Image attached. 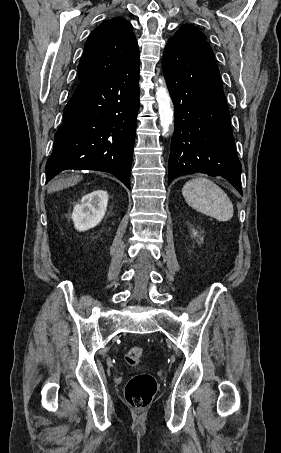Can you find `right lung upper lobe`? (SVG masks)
I'll use <instances>...</instances> for the list:
<instances>
[{
    "label": "right lung upper lobe",
    "instance_id": "1",
    "mask_svg": "<svg viewBox=\"0 0 281 453\" xmlns=\"http://www.w3.org/2000/svg\"><path fill=\"white\" fill-rule=\"evenodd\" d=\"M132 25L123 18H112L95 28L78 64L79 82L108 78L139 55Z\"/></svg>",
    "mask_w": 281,
    "mask_h": 453
}]
</instances>
